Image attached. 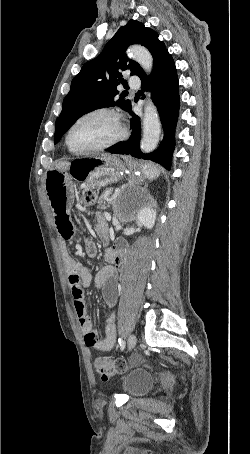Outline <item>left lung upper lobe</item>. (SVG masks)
Listing matches in <instances>:
<instances>
[{
  "label": "left lung upper lobe",
  "mask_w": 250,
  "mask_h": 454,
  "mask_svg": "<svg viewBox=\"0 0 250 454\" xmlns=\"http://www.w3.org/2000/svg\"><path fill=\"white\" fill-rule=\"evenodd\" d=\"M131 44H141L152 54L153 68L168 53L158 34L143 23L130 20L121 27L106 44L102 53L85 63L71 82V88L63 100L62 111L56 120L54 143L82 115L96 109L119 106L124 110L131 107V101L120 94L117 86L123 83L122 72L129 69L131 75L145 76L138 63L129 59L125 51Z\"/></svg>",
  "instance_id": "5c2ea615"
}]
</instances>
